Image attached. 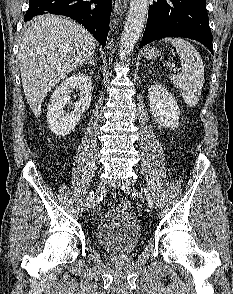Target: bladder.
<instances>
[{
    "label": "bladder",
    "mask_w": 233,
    "mask_h": 294,
    "mask_svg": "<svg viewBox=\"0 0 233 294\" xmlns=\"http://www.w3.org/2000/svg\"><path fill=\"white\" fill-rule=\"evenodd\" d=\"M96 239L105 250L126 254L136 248L141 239V228L137 219L128 211L106 212L96 227Z\"/></svg>",
    "instance_id": "31cf9c89"
}]
</instances>
